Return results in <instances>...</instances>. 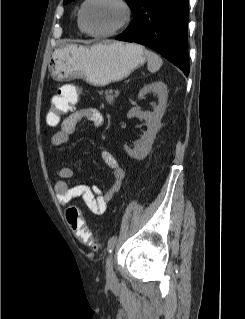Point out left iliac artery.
I'll use <instances>...</instances> for the list:
<instances>
[{
  "label": "left iliac artery",
  "instance_id": "obj_1",
  "mask_svg": "<svg viewBox=\"0 0 245 319\" xmlns=\"http://www.w3.org/2000/svg\"><path fill=\"white\" fill-rule=\"evenodd\" d=\"M116 242H117V236H112L108 240L107 250H108L109 253H111L112 250L114 249Z\"/></svg>",
  "mask_w": 245,
  "mask_h": 319
}]
</instances>
